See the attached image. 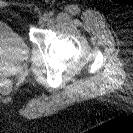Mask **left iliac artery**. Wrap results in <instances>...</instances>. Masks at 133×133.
I'll use <instances>...</instances> for the list:
<instances>
[{"label": "left iliac artery", "mask_w": 133, "mask_h": 133, "mask_svg": "<svg viewBox=\"0 0 133 133\" xmlns=\"http://www.w3.org/2000/svg\"><path fill=\"white\" fill-rule=\"evenodd\" d=\"M53 15V12H50V13H48V14H46V16L49 18V17H51Z\"/></svg>", "instance_id": "left-iliac-artery-1"}]
</instances>
